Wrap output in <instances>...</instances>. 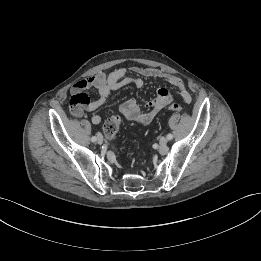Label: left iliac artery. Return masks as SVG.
Instances as JSON below:
<instances>
[{
  "label": "left iliac artery",
  "instance_id": "1",
  "mask_svg": "<svg viewBox=\"0 0 261 261\" xmlns=\"http://www.w3.org/2000/svg\"><path fill=\"white\" fill-rule=\"evenodd\" d=\"M167 139H168V140H172V139H173V135H172V134H168V135H167Z\"/></svg>",
  "mask_w": 261,
  "mask_h": 261
}]
</instances>
